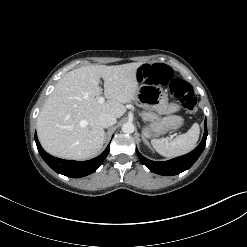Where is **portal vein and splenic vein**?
<instances>
[{
	"mask_svg": "<svg viewBox=\"0 0 247 247\" xmlns=\"http://www.w3.org/2000/svg\"><path fill=\"white\" fill-rule=\"evenodd\" d=\"M105 102V98L103 96H100L98 98V103L103 104Z\"/></svg>",
	"mask_w": 247,
	"mask_h": 247,
	"instance_id": "portal-vein-and-splenic-vein-1",
	"label": "portal vein and splenic vein"
}]
</instances>
